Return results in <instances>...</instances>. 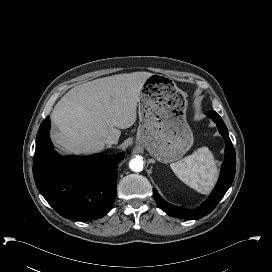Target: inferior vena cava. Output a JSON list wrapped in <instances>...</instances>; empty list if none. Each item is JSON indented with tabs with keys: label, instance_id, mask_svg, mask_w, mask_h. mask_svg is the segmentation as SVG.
Returning a JSON list of instances; mask_svg holds the SVG:
<instances>
[{
	"label": "inferior vena cava",
	"instance_id": "obj_1",
	"mask_svg": "<svg viewBox=\"0 0 272 272\" xmlns=\"http://www.w3.org/2000/svg\"><path fill=\"white\" fill-rule=\"evenodd\" d=\"M105 143L109 146L111 145H114V144H117L118 143V140L113 137V136H108L106 139H105Z\"/></svg>",
	"mask_w": 272,
	"mask_h": 272
}]
</instances>
